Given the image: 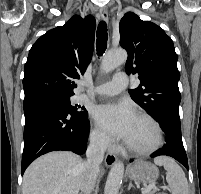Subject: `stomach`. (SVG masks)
Masks as SVG:
<instances>
[{"mask_svg":"<svg viewBox=\"0 0 201 194\" xmlns=\"http://www.w3.org/2000/svg\"><path fill=\"white\" fill-rule=\"evenodd\" d=\"M127 175L130 179L136 182L146 184L152 183L158 178L159 170L151 163L138 161L128 168Z\"/></svg>","mask_w":201,"mask_h":194,"instance_id":"obj_1","label":"stomach"}]
</instances>
